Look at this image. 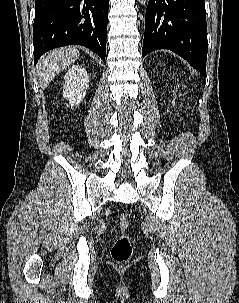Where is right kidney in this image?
<instances>
[{"label": "right kidney", "instance_id": "1", "mask_svg": "<svg viewBox=\"0 0 239 303\" xmlns=\"http://www.w3.org/2000/svg\"><path fill=\"white\" fill-rule=\"evenodd\" d=\"M63 97L69 100L71 107L79 105L86 96L89 76L84 67L72 66L64 77Z\"/></svg>", "mask_w": 239, "mask_h": 303}]
</instances>
